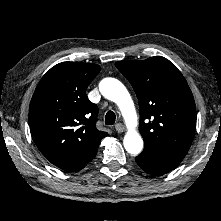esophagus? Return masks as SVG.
Wrapping results in <instances>:
<instances>
[{"label": "esophagus", "instance_id": "esophagus-1", "mask_svg": "<svg viewBox=\"0 0 221 221\" xmlns=\"http://www.w3.org/2000/svg\"><path fill=\"white\" fill-rule=\"evenodd\" d=\"M115 129H116V131H117L118 133L124 132V126H123L121 123H117V124L115 125Z\"/></svg>", "mask_w": 221, "mask_h": 221}]
</instances>
